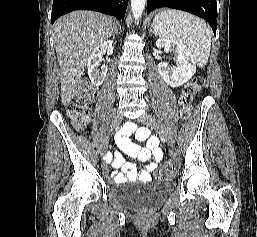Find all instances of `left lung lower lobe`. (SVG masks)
<instances>
[{"label": "left lung lower lobe", "instance_id": "1", "mask_svg": "<svg viewBox=\"0 0 257 237\" xmlns=\"http://www.w3.org/2000/svg\"><path fill=\"white\" fill-rule=\"evenodd\" d=\"M162 7L183 10L205 19L216 35V0H147V14Z\"/></svg>", "mask_w": 257, "mask_h": 237}]
</instances>
